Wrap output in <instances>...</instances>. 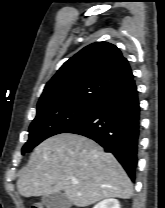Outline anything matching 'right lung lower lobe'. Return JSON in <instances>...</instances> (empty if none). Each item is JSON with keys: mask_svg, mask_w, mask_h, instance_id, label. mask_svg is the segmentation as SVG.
Wrapping results in <instances>:
<instances>
[{"mask_svg": "<svg viewBox=\"0 0 165 208\" xmlns=\"http://www.w3.org/2000/svg\"><path fill=\"white\" fill-rule=\"evenodd\" d=\"M140 131V106L134 79L100 99L92 111L67 133L93 139L111 152L135 180Z\"/></svg>", "mask_w": 165, "mask_h": 208, "instance_id": "right-lung-lower-lobe-1", "label": "right lung lower lobe"}]
</instances>
